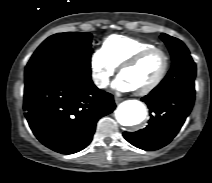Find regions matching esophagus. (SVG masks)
Wrapping results in <instances>:
<instances>
[{
	"label": "esophagus",
	"mask_w": 212,
	"mask_h": 183,
	"mask_svg": "<svg viewBox=\"0 0 212 183\" xmlns=\"http://www.w3.org/2000/svg\"><path fill=\"white\" fill-rule=\"evenodd\" d=\"M114 100H115L116 104H118L119 102L122 101V99L120 97H117V96L114 98Z\"/></svg>",
	"instance_id": "1"
}]
</instances>
